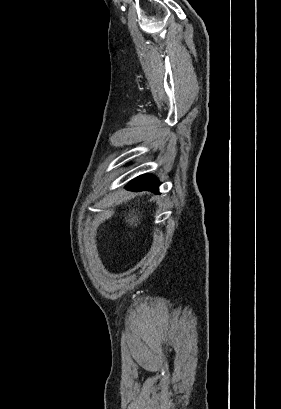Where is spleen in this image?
I'll return each instance as SVG.
<instances>
[{"mask_svg":"<svg viewBox=\"0 0 281 409\" xmlns=\"http://www.w3.org/2000/svg\"><path fill=\"white\" fill-rule=\"evenodd\" d=\"M138 221H139V219H138L137 215H134L133 219H129L130 225H134V227H136Z\"/></svg>","mask_w":281,"mask_h":409,"instance_id":"3e777b00","label":"spleen"}]
</instances>
